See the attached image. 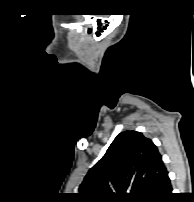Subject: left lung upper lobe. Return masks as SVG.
Masks as SVG:
<instances>
[{
  "mask_svg": "<svg viewBox=\"0 0 194 202\" xmlns=\"http://www.w3.org/2000/svg\"><path fill=\"white\" fill-rule=\"evenodd\" d=\"M165 169L150 139L121 132L85 176L79 196L84 202L152 201Z\"/></svg>",
  "mask_w": 194,
  "mask_h": 202,
  "instance_id": "1",
  "label": "left lung upper lobe"
}]
</instances>
